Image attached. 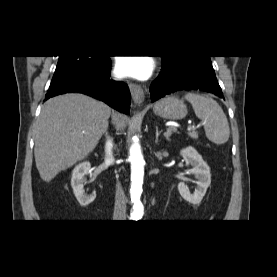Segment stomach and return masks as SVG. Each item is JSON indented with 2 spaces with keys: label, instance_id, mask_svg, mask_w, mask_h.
Listing matches in <instances>:
<instances>
[{
  "label": "stomach",
  "instance_id": "obj_1",
  "mask_svg": "<svg viewBox=\"0 0 277 277\" xmlns=\"http://www.w3.org/2000/svg\"><path fill=\"white\" fill-rule=\"evenodd\" d=\"M154 113L162 118L180 120L187 115V106L175 96H167L155 103Z\"/></svg>",
  "mask_w": 277,
  "mask_h": 277
}]
</instances>
